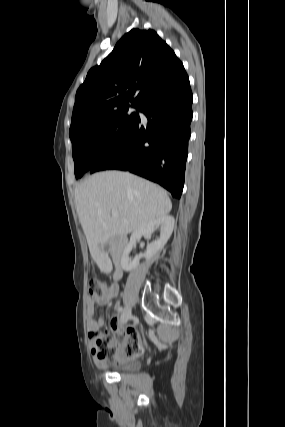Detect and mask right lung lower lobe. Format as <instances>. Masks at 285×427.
<instances>
[{
	"mask_svg": "<svg viewBox=\"0 0 285 427\" xmlns=\"http://www.w3.org/2000/svg\"><path fill=\"white\" fill-rule=\"evenodd\" d=\"M192 92L183 68L150 90L139 108L148 119H141L125 140L90 173L117 169L129 171L153 182L180 198L192 120Z\"/></svg>",
	"mask_w": 285,
	"mask_h": 427,
	"instance_id": "1",
	"label": "right lung lower lobe"
}]
</instances>
